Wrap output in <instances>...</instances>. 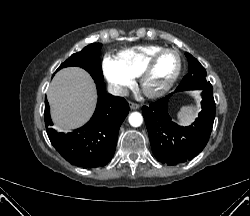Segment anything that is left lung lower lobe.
<instances>
[{
    "label": "left lung lower lobe",
    "mask_w": 250,
    "mask_h": 216,
    "mask_svg": "<svg viewBox=\"0 0 250 216\" xmlns=\"http://www.w3.org/2000/svg\"><path fill=\"white\" fill-rule=\"evenodd\" d=\"M192 90L202 91V110L190 126L181 127L171 121L167 106L173 94L142 107L152 152L158 161L169 166L197 156L206 146L212 131L215 118L213 89Z\"/></svg>",
    "instance_id": "left-lung-lower-lobe-1"
}]
</instances>
